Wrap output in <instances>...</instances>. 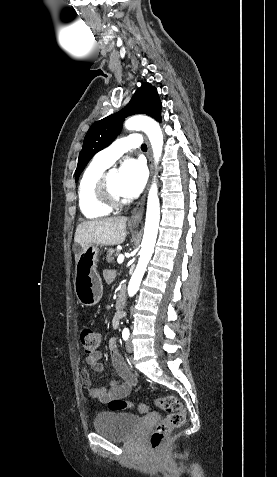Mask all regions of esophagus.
<instances>
[{"label": "esophagus", "instance_id": "34e87169", "mask_svg": "<svg viewBox=\"0 0 277 477\" xmlns=\"http://www.w3.org/2000/svg\"><path fill=\"white\" fill-rule=\"evenodd\" d=\"M147 157H148V164H149V169H150V175L152 176V152H151V146L149 142H147ZM149 184L147 185V188L143 194V196L140 198V200L137 202L136 206L134 207L132 211V215L130 217L129 223L130 224H138L143 216L144 213V206H145V201H146V196L148 192Z\"/></svg>", "mask_w": 277, "mask_h": 477}]
</instances>
